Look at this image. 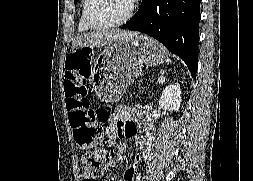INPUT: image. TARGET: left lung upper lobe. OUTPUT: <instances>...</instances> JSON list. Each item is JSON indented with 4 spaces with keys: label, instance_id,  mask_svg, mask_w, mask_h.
Wrapping results in <instances>:
<instances>
[{
    "label": "left lung upper lobe",
    "instance_id": "left-lung-upper-lobe-1",
    "mask_svg": "<svg viewBox=\"0 0 253 181\" xmlns=\"http://www.w3.org/2000/svg\"><path fill=\"white\" fill-rule=\"evenodd\" d=\"M78 0H75L74 2L77 3Z\"/></svg>",
    "mask_w": 253,
    "mask_h": 181
}]
</instances>
